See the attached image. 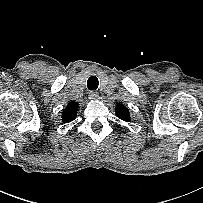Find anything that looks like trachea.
Instances as JSON below:
<instances>
[{
    "label": "trachea",
    "instance_id": "3493384b",
    "mask_svg": "<svg viewBox=\"0 0 203 203\" xmlns=\"http://www.w3.org/2000/svg\"><path fill=\"white\" fill-rule=\"evenodd\" d=\"M98 85H99V81L96 76L89 77L87 81V87L89 90H93V91L96 90L98 88Z\"/></svg>",
    "mask_w": 203,
    "mask_h": 203
}]
</instances>
